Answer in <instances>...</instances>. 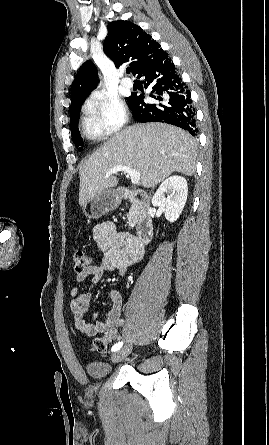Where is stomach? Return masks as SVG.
Here are the masks:
<instances>
[{
  "label": "stomach",
  "mask_w": 269,
  "mask_h": 445,
  "mask_svg": "<svg viewBox=\"0 0 269 445\" xmlns=\"http://www.w3.org/2000/svg\"><path fill=\"white\" fill-rule=\"evenodd\" d=\"M120 202L121 196L119 191L108 189L91 198L82 206V211L88 218L98 219L107 212L116 209Z\"/></svg>",
  "instance_id": "0dacf381"
}]
</instances>
